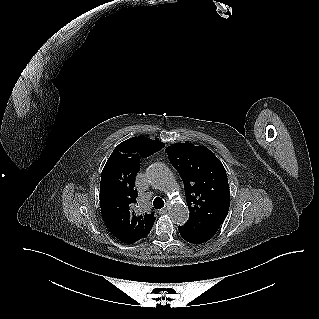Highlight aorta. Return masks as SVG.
<instances>
[{
	"instance_id": "obj_1",
	"label": "aorta",
	"mask_w": 319,
	"mask_h": 319,
	"mask_svg": "<svg viewBox=\"0 0 319 319\" xmlns=\"http://www.w3.org/2000/svg\"><path fill=\"white\" fill-rule=\"evenodd\" d=\"M146 175L153 186L171 195L176 193L171 197L169 217L175 224H184L188 220L189 210L182 201L177 199L179 191L170 170L162 163H154L148 167Z\"/></svg>"
}]
</instances>
